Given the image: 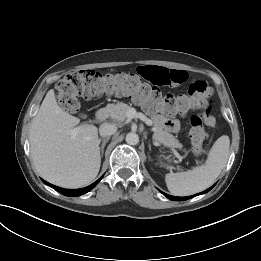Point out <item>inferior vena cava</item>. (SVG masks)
Wrapping results in <instances>:
<instances>
[{"label": "inferior vena cava", "instance_id": "1", "mask_svg": "<svg viewBox=\"0 0 261 261\" xmlns=\"http://www.w3.org/2000/svg\"><path fill=\"white\" fill-rule=\"evenodd\" d=\"M117 131V127L114 124L103 123L99 128L101 137H109Z\"/></svg>", "mask_w": 261, "mask_h": 261}]
</instances>
